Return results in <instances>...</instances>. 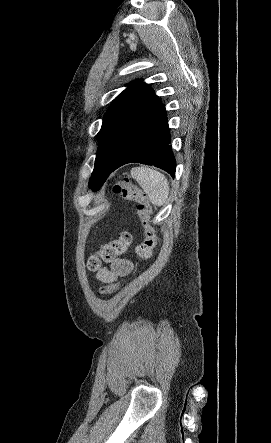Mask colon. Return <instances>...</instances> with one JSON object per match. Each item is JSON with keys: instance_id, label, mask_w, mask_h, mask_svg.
Listing matches in <instances>:
<instances>
[{"instance_id": "obj_1", "label": "colon", "mask_w": 271, "mask_h": 443, "mask_svg": "<svg viewBox=\"0 0 271 443\" xmlns=\"http://www.w3.org/2000/svg\"><path fill=\"white\" fill-rule=\"evenodd\" d=\"M114 191L125 199L134 201L137 204L138 215L144 227V238L136 247V256L141 260H147L151 257L157 242L156 231L151 223L150 204L142 190L134 186L128 179L119 181L115 185ZM131 243V232H121L117 238L103 244L96 253L89 257L87 262L89 270L97 271L100 269L102 263H112L118 256L127 253ZM118 287L119 282L108 283L101 287L100 294L110 295L114 293Z\"/></svg>"}]
</instances>
